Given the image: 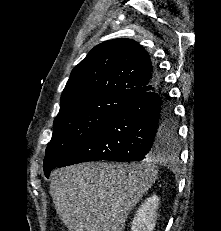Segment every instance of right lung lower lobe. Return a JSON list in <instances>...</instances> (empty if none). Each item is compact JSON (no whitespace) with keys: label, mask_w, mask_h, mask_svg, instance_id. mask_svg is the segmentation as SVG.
<instances>
[{"label":"right lung lower lobe","mask_w":221,"mask_h":231,"mask_svg":"<svg viewBox=\"0 0 221 231\" xmlns=\"http://www.w3.org/2000/svg\"><path fill=\"white\" fill-rule=\"evenodd\" d=\"M155 74L154 89L126 102L56 167L97 160L141 161L173 148L176 144L166 137L174 130L173 111L157 68Z\"/></svg>","instance_id":"right-lung-lower-lobe-1"}]
</instances>
